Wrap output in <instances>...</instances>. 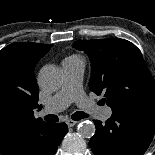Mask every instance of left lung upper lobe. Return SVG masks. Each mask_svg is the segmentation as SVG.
<instances>
[{
	"instance_id": "obj_1",
	"label": "left lung upper lobe",
	"mask_w": 155,
	"mask_h": 155,
	"mask_svg": "<svg viewBox=\"0 0 155 155\" xmlns=\"http://www.w3.org/2000/svg\"><path fill=\"white\" fill-rule=\"evenodd\" d=\"M75 48L90 58V90L104 94L113 113L155 112V82L140 50L124 39L80 40Z\"/></svg>"
}]
</instances>
